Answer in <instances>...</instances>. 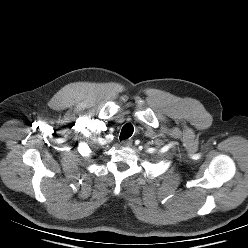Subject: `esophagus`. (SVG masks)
Here are the masks:
<instances>
[{
	"label": "esophagus",
	"mask_w": 248,
	"mask_h": 248,
	"mask_svg": "<svg viewBox=\"0 0 248 248\" xmlns=\"http://www.w3.org/2000/svg\"><path fill=\"white\" fill-rule=\"evenodd\" d=\"M123 146L130 147L132 146V140H127L122 142Z\"/></svg>",
	"instance_id": "esophagus-1"
}]
</instances>
